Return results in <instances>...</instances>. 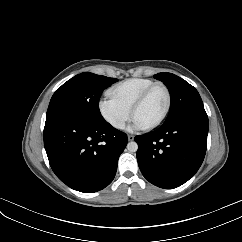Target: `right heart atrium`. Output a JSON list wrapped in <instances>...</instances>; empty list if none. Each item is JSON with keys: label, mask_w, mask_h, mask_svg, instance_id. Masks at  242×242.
<instances>
[{"label": "right heart atrium", "mask_w": 242, "mask_h": 242, "mask_svg": "<svg viewBox=\"0 0 242 242\" xmlns=\"http://www.w3.org/2000/svg\"><path fill=\"white\" fill-rule=\"evenodd\" d=\"M99 111L104 120L117 130L124 128L131 115L129 110L110 97H104L99 101Z\"/></svg>", "instance_id": "right-heart-atrium-1"}]
</instances>
